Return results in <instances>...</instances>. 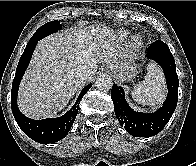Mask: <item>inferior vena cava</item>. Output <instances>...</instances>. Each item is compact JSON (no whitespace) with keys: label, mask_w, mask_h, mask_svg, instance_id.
Listing matches in <instances>:
<instances>
[{"label":"inferior vena cava","mask_w":196,"mask_h":166,"mask_svg":"<svg viewBox=\"0 0 196 166\" xmlns=\"http://www.w3.org/2000/svg\"><path fill=\"white\" fill-rule=\"evenodd\" d=\"M88 77V71H86L85 69L83 68H78L75 72V78L78 80V81H84L86 80Z\"/></svg>","instance_id":"obj_1"}]
</instances>
